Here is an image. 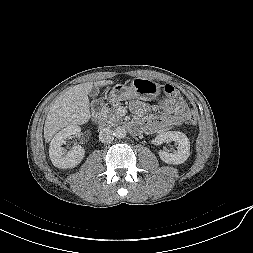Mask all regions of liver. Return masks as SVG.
I'll list each match as a JSON object with an SVG mask.
<instances>
[{
    "mask_svg": "<svg viewBox=\"0 0 253 253\" xmlns=\"http://www.w3.org/2000/svg\"><path fill=\"white\" fill-rule=\"evenodd\" d=\"M113 84L111 80L86 82L75 85L53 102L44 125V138L49 142L60 129L70 125H83L90 119L88 94L95 87Z\"/></svg>",
    "mask_w": 253,
    "mask_h": 253,
    "instance_id": "6515ba94",
    "label": "liver"
}]
</instances>
